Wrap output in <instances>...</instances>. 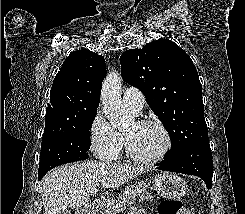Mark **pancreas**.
Masks as SVG:
<instances>
[{"label":"pancreas","mask_w":245,"mask_h":214,"mask_svg":"<svg viewBox=\"0 0 245 214\" xmlns=\"http://www.w3.org/2000/svg\"><path fill=\"white\" fill-rule=\"evenodd\" d=\"M137 199L140 201H152L153 197L149 193L147 186L143 184L126 186L116 200L107 203L106 214H117L126 204H131Z\"/></svg>","instance_id":"obj_1"}]
</instances>
